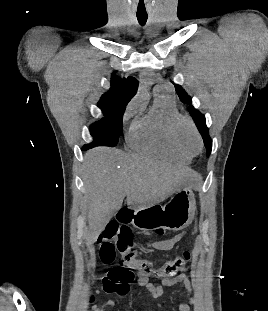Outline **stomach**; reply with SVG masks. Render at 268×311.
I'll return each mask as SVG.
<instances>
[{
    "label": "stomach",
    "mask_w": 268,
    "mask_h": 311,
    "mask_svg": "<svg viewBox=\"0 0 268 311\" xmlns=\"http://www.w3.org/2000/svg\"><path fill=\"white\" fill-rule=\"evenodd\" d=\"M195 205L192 190L182 186L174 193L166 207L154 204L135 208L131 223L143 231L157 229L179 231L191 224Z\"/></svg>",
    "instance_id": "1"
}]
</instances>
